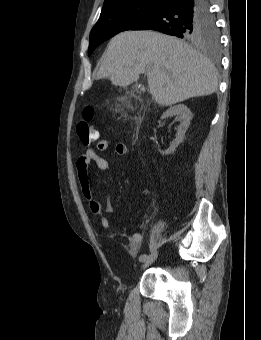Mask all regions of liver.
Segmentation results:
<instances>
[{"instance_id":"1","label":"liver","mask_w":261,"mask_h":340,"mask_svg":"<svg viewBox=\"0 0 261 340\" xmlns=\"http://www.w3.org/2000/svg\"><path fill=\"white\" fill-rule=\"evenodd\" d=\"M147 74L154 100L170 106L217 90L210 60L180 39L153 31H125L108 44L97 79L126 87Z\"/></svg>"}]
</instances>
